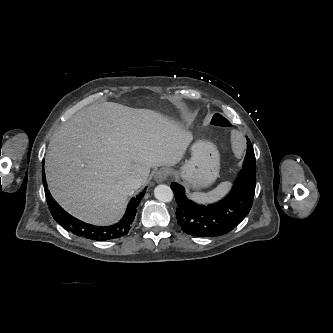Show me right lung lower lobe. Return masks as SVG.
<instances>
[{"instance_id":"obj_1","label":"right lung lower lobe","mask_w":333,"mask_h":333,"mask_svg":"<svg viewBox=\"0 0 333 333\" xmlns=\"http://www.w3.org/2000/svg\"><path fill=\"white\" fill-rule=\"evenodd\" d=\"M44 172V169H43ZM43 184L50 212L53 218L67 231L91 240L106 241L116 239L126 235L131 228V224L135 219L137 206L139 205L145 190L140 192L135 198H132L127 206V210L123 218L116 224L106 227L94 226L84 223L63 210L57 202L51 197L49 190L46 188L47 183L45 174L43 173Z\"/></svg>"}]
</instances>
